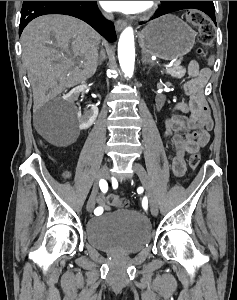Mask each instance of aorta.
I'll list each match as a JSON object with an SVG mask.
<instances>
[{
	"label": "aorta",
	"mask_w": 237,
	"mask_h": 300,
	"mask_svg": "<svg viewBox=\"0 0 237 300\" xmlns=\"http://www.w3.org/2000/svg\"><path fill=\"white\" fill-rule=\"evenodd\" d=\"M118 59L124 77H132L135 63L134 31L132 27H126L120 35Z\"/></svg>",
	"instance_id": "762f6f07"
}]
</instances>
